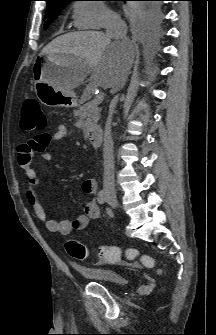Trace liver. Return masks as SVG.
Instances as JSON below:
<instances>
[{"instance_id": "liver-1", "label": "liver", "mask_w": 216, "mask_h": 335, "mask_svg": "<svg viewBox=\"0 0 216 335\" xmlns=\"http://www.w3.org/2000/svg\"><path fill=\"white\" fill-rule=\"evenodd\" d=\"M134 44L126 40H114L99 31H77L58 36L43 49L42 55L72 58L70 69L64 75L60 89L70 92L80 86L91 73L90 86L120 88L119 77L133 61Z\"/></svg>"}]
</instances>
